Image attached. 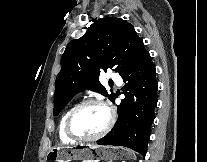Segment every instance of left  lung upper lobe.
<instances>
[{
    "instance_id": "obj_1",
    "label": "left lung upper lobe",
    "mask_w": 207,
    "mask_h": 162,
    "mask_svg": "<svg viewBox=\"0 0 207 162\" xmlns=\"http://www.w3.org/2000/svg\"><path fill=\"white\" fill-rule=\"evenodd\" d=\"M143 41L134 27L121 18L96 20L84 36L72 40L61 59V71L56 78L54 115L85 89L101 92L111 101L101 85L99 74L113 68L121 76L145 52Z\"/></svg>"
}]
</instances>
